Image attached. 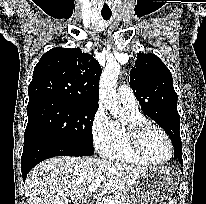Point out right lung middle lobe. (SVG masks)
Listing matches in <instances>:
<instances>
[{
	"label": "right lung middle lobe",
	"mask_w": 206,
	"mask_h": 204,
	"mask_svg": "<svg viewBox=\"0 0 206 204\" xmlns=\"http://www.w3.org/2000/svg\"><path fill=\"white\" fill-rule=\"evenodd\" d=\"M98 105L57 99L29 101L24 146L50 141L70 147L81 156L93 153L92 121Z\"/></svg>",
	"instance_id": "right-lung-middle-lobe-1"
}]
</instances>
